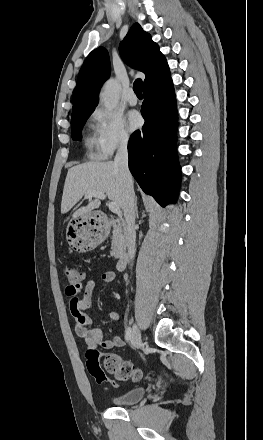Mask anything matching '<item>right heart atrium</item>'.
I'll return each instance as SVG.
<instances>
[{
	"mask_svg": "<svg viewBox=\"0 0 263 440\" xmlns=\"http://www.w3.org/2000/svg\"><path fill=\"white\" fill-rule=\"evenodd\" d=\"M93 118L96 122L97 144L103 155H111L130 143V134L119 114L98 108L94 111Z\"/></svg>",
	"mask_w": 263,
	"mask_h": 440,
	"instance_id": "obj_1",
	"label": "right heart atrium"
}]
</instances>
